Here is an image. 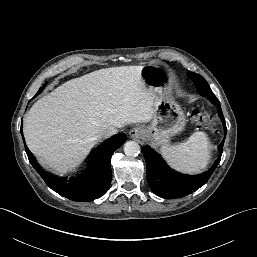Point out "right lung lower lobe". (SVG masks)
<instances>
[{
	"label": "right lung lower lobe",
	"instance_id": "right-lung-lower-lobe-1",
	"mask_svg": "<svg viewBox=\"0 0 257 257\" xmlns=\"http://www.w3.org/2000/svg\"><path fill=\"white\" fill-rule=\"evenodd\" d=\"M126 138L125 134L119 133L101 143L90 155L85 168L72 177L47 172L38 164L32 153L25 149L30 163L52 190L70 200L87 202L100 198L109 189L112 179L111 155Z\"/></svg>",
	"mask_w": 257,
	"mask_h": 257
}]
</instances>
